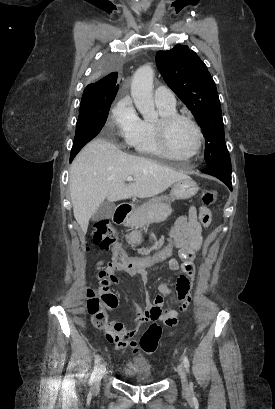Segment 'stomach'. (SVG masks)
<instances>
[{
  "mask_svg": "<svg viewBox=\"0 0 275 409\" xmlns=\"http://www.w3.org/2000/svg\"><path fill=\"white\" fill-rule=\"evenodd\" d=\"M198 190V184L188 176V178H181V180H177L173 184L170 196H158V198H152L151 202H155V205H158V202L167 200V198H170V200H174V198H191Z\"/></svg>",
  "mask_w": 275,
  "mask_h": 409,
  "instance_id": "0dacf381",
  "label": "stomach"
}]
</instances>
